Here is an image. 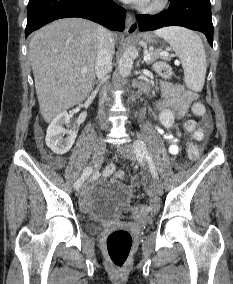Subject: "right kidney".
Instances as JSON below:
<instances>
[{
  "mask_svg": "<svg viewBox=\"0 0 233 284\" xmlns=\"http://www.w3.org/2000/svg\"><path fill=\"white\" fill-rule=\"evenodd\" d=\"M87 113L83 112L77 119V125L83 123ZM70 122V116L67 112H62L50 123L46 132V144L56 154L62 155L67 153L73 146L77 137V130L66 131L64 125ZM67 134V137L64 135Z\"/></svg>",
  "mask_w": 233,
  "mask_h": 284,
  "instance_id": "ca27d5eb",
  "label": "right kidney"
}]
</instances>
